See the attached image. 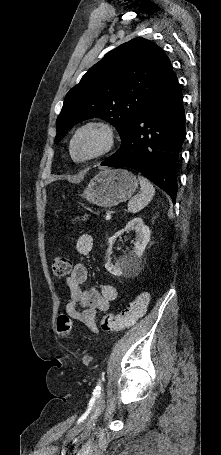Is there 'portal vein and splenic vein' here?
Segmentation results:
<instances>
[{
	"instance_id": "1",
	"label": "portal vein and splenic vein",
	"mask_w": 221,
	"mask_h": 455,
	"mask_svg": "<svg viewBox=\"0 0 221 455\" xmlns=\"http://www.w3.org/2000/svg\"><path fill=\"white\" fill-rule=\"evenodd\" d=\"M110 219H111V213L108 212V213H106V220L109 221Z\"/></svg>"
}]
</instances>
